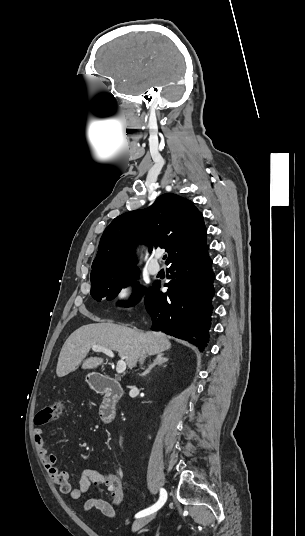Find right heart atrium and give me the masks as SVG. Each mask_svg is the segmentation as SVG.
Returning a JSON list of instances; mask_svg holds the SVG:
<instances>
[{
	"label": "right heart atrium",
	"instance_id": "1",
	"mask_svg": "<svg viewBox=\"0 0 305 536\" xmlns=\"http://www.w3.org/2000/svg\"><path fill=\"white\" fill-rule=\"evenodd\" d=\"M132 288L129 284L119 287L115 294V303L119 308H124L128 305L131 299Z\"/></svg>",
	"mask_w": 305,
	"mask_h": 536
}]
</instances>
